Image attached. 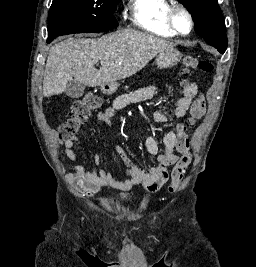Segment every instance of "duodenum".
<instances>
[{
    "mask_svg": "<svg viewBox=\"0 0 256 267\" xmlns=\"http://www.w3.org/2000/svg\"><path fill=\"white\" fill-rule=\"evenodd\" d=\"M119 81L115 78H108L107 81H102V85H99V90H102V94H115V90L120 88Z\"/></svg>",
    "mask_w": 256,
    "mask_h": 267,
    "instance_id": "410a0bca",
    "label": "duodenum"
}]
</instances>
